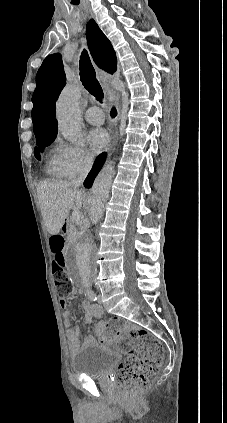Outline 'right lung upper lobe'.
I'll return each instance as SVG.
<instances>
[{
    "instance_id": "cb5924a9",
    "label": "right lung upper lobe",
    "mask_w": 227,
    "mask_h": 423,
    "mask_svg": "<svg viewBox=\"0 0 227 423\" xmlns=\"http://www.w3.org/2000/svg\"><path fill=\"white\" fill-rule=\"evenodd\" d=\"M86 37L95 63L103 70L114 73L117 69L116 54L110 41L94 21L87 24ZM66 84L60 54L45 58L36 75V89L32 96L33 131L37 137L57 135L55 102Z\"/></svg>"
}]
</instances>
